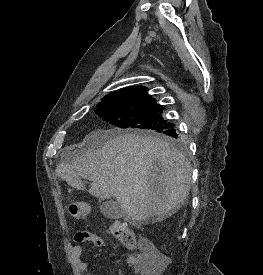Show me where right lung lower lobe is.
Masks as SVG:
<instances>
[{"label":"right lung lower lobe","instance_id":"right-lung-lower-lobe-1","mask_svg":"<svg viewBox=\"0 0 263 275\" xmlns=\"http://www.w3.org/2000/svg\"><path fill=\"white\" fill-rule=\"evenodd\" d=\"M165 134H172L178 136L176 129L173 127L168 128L167 130L163 131Z\"/></svg>","mask_w":263,"mask_h":275}]
</instances>
